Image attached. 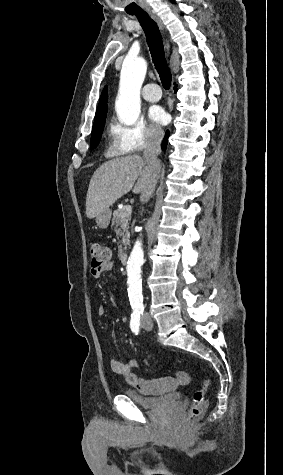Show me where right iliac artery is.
<instances>
[{"instance_id": "obj_1", "label": "right iliac artery", "mask_w": 283, "mask_h": 475, "mask_svg": "<svg viewBox=\"0 0 283 475\" xmlns=\"http://www.w3.org/2000/svg\"><path fill=\"white\" fill-rule=\"evenodd\" d=\"M139 327H140V313L133 312L131 314L130 328L132 332H134L137 335L139 332Z\"/></svg>"}]
</instances>
